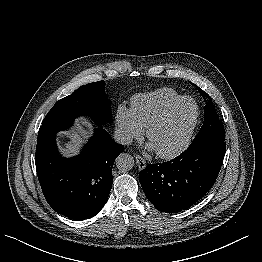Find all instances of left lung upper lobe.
I'll use <instances>...</instances> for the list:
<instances>
[{
    "mask_svg": "<svg viewBox=\"0 0 262 262\" xmlns=\"http://www.w3.org/2000/svg\"><path fill=\"white\" fill-rule=\"evenodd\" d=\"M198 90L204 98H208V101L204 109L203 125L190 145H196L212 140L224 141V127L213 106L211 97H209V95L205 93L201 88H198Z\"/></svg>",
    "mask_w": 262,
    "mask_h": 262,
    "instance_id": "1",
    "label": "left lung upper lobe"
}]
</instances>
